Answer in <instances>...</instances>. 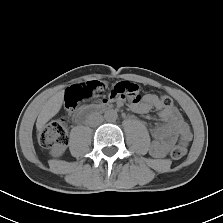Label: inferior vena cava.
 Segmentation results:
<instances>
[{
  "instance_id": "602c4592",
  "label": "inferior vena cava",
  "mask_w": 223,
  "mask_h": 223,
  "mask_svg": "<svg viewBox=\"0 0 223 223\" xmlns=\"http://www.w3.org/2000/svg\"><path fill=\"white\" fill-rule=\"evenodd\" d=\"M103 117L100 114H96L92 117L90 121L91 126H98L103 122Z\"/></svg>"
}]
</instances>
